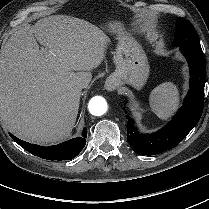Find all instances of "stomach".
Instances as JSON below:
<instances>
[{"instance_id": "0dacf381", "label": "stomach", "mask_w": 209, "mask_h": 209, "mask_svg": "<svg viewBox=\"0 0 209 209\" xmlns=\"http://www.w3.org/2000/svg\"><path fill=\"white\" fill-rule=\"evenodd\" d=\"M109 28L118 34L119 42L113 58L116 69L107 79V87L110 88L114 83L116 86L131 85L135 89H141L150 72L142 46L132 36L124 33L120 23L112 22Z\"/></svg>"}]
</instances>
